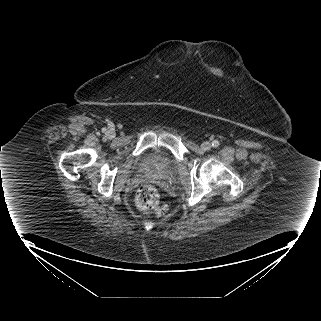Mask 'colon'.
<instances>
[{
	"instance_id": "5ec220e1",
	"label": "colon",
	"mask_w": 321,
	"mask_h": 321,
	"mask_svg": "<svg viewBox=\"0 0 321 321\" xmlns=\"http://www.w3.org/2000/svg\"><path fill=\"white\" fill-rule=\"evenodd\" d=\"M136 205L144 213L162 215L167 208L160 202V195L156 187L150 184L142 185L136 193Z\"/></svg>"
}]
</instances>
